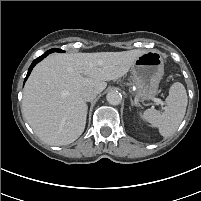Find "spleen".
I'll use <instances>...</instances> for the list:
<instances>
[{
  "label": "spleen",
  "instance_id": "1",
  "mask_svg": "<svg viewBox=\"0 0 201 201\" xmlns=\"http://www.w3.org/2000/svg\"><path fill=\"white\" fill-rule=\"evenodd\" d=\"M186 89L180 82H175L169 90L166 98L165 111L160 113L155 109H147L141 117L152 127H157L163 137L175 133L181 124L187 107Z\"/></svg>",
  "mask_w": 201,
  "mask_h": 201
}]
</instances>
